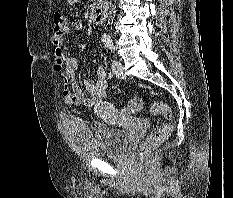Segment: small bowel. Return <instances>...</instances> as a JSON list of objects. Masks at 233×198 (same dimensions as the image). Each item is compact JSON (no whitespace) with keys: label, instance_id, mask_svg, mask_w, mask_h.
Listing matches in <instances>:
<instances>
[{"label":"small bowel","instance_id":"c3829d8e","mask_svg":"<svg viewBox=\"0 0 233 198\" xmlns=\"http://www.w3.org/2000/svg\"><path fill=\"white\" fill-rule=\"evenodd\" d=\"M84 25L80 21H74L65 24V27L59 32H53L51 42L55 47L53 59V67L64 79L65 87L63 90V98L69 105H86L94 107L95 112L100 117H109L114 111L110 105L104 102L107 89V75L102 66L96 69V81H83L84 89L89 93L86 98L81 86L77 83L75 76L79 69V61L71 56L66 55L62 46L64 38L73 32H81Z\"/></svg>","mask_w":233,"mask_h":198}]
</instances>
